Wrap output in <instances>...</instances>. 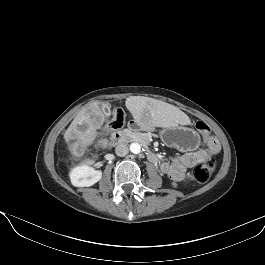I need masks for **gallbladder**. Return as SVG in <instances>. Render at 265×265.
<instances>
[{"label": "gallbladder", "mask_w": 265, "mask_h": 265, "mask_svg": "<svg viewBox=\"0 0 265 265\" xmlns=\"http://www.w3.org/2000/svg\"><path fill=\"white\" fill-rule=\"evenodd\" d=\"M103 105V107H104V113H105V115L106 116H110L111 115V107H110V105L108 104V103H106V104H102ZM78 128L79 129H82V127L81 126H78Z\"/></svg>", "instance_id": "1"}]
</instances>
